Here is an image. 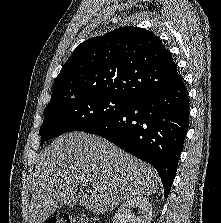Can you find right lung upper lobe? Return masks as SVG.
I'll return each instance as SVG.
<instances>
[{"instance_id":"1","label":"right lung upper lobe","mask_w":221,"mask_h":223,"mask_svg":"<svg viewBox=\"0 0 221 223\" xmlns=\"http://www.w3.org/2000/svg\"><path fill=\"white\" fill-rule=\"evenodd\" d=\"M181 81L155 34L121 27L78 45L56 78L50 103L80 95L134 100Z\"/></svg>"}]
</instances>
